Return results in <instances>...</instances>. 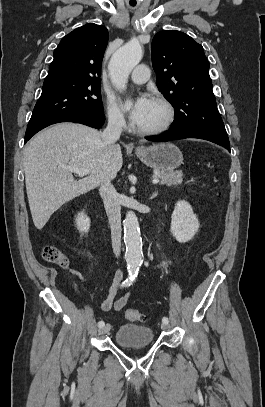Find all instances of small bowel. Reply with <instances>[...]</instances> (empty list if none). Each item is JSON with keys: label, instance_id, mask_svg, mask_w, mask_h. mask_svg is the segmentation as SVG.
<instances>
[{"label": "small bowel", "instance_id": "c3829d8e", "mask_svg": "<svg viewBox=\"0 0 265 407\" xmlns=\"http://www.w3.org/2000/svg\"><path fill=\"white\" fill-rule=\"evenodd\" d=\"M165 263H163L164 265ZM75 275L77 278L80 277V274L78 271H75ZM123 278V272H119L116 274L113 284L110 287L109 290V294L106 297L105 300L102 301V303L100 304V310L103 312H107L110 311L111 309H114L115 311H120L122 310L128 303L129 298H130V294L126 293L124 294L122 297H120L119 299L115 300V296L119 287V284L121 282ZM74 288L76 291L79 290V283L75 282L74 284Z\"/></svg>", "mask_w": 265, "mask_h": 407}]
</instances>
